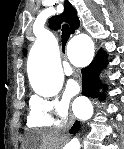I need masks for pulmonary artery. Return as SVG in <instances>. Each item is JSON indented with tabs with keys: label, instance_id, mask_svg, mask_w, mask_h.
<instances>
[{
	"label": "pulmonary artery",
	"instance_id": "1",
	"mask_svg": "<svg viewBox=\"0 0 124 149\" xmlns=\"http://www.w3.org/2000/svg\"><path fill=\"white\" fill-rule=\"evenodd\" d=\"M64 71L67 75H70L72 73V67L69 63H67L64 67Z\"/></svg>",
	"mask_w": 124,
	"mask_h": 149
}]
</instances>
